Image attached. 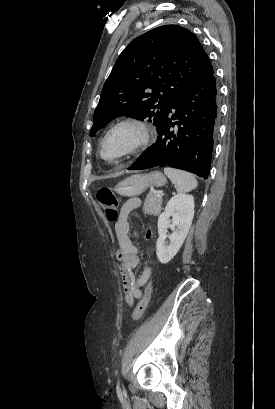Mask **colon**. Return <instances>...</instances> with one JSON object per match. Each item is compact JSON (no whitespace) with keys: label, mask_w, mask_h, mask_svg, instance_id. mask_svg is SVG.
Here are the masks:
<instances>
[{"label":"colon","mask_w":275,"mask_h":409,"mask_svg":"<svg viewBox=\"0 0 275 409\" xmlns=\"http://www.w3.org/2000/svg\"><path fill=\"white\" fill-rule=\"evenodd\" d=\"M96 199L100 204L105 216L111 222L115 221L119 215V200L112 193L111 190L104 188L97 192ZM147 237L152 238L150 230H147ZM151 299L150 287L147 288L145 294L137 304L136 308L132 312V320L138 321L144 315L146 308Z\"/></svg>","instance_id":"1"}]
</instances>
